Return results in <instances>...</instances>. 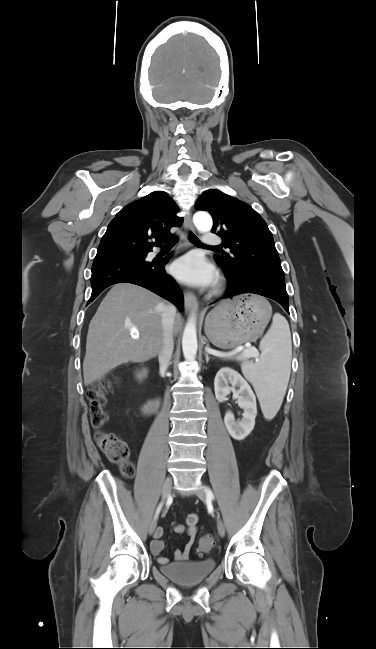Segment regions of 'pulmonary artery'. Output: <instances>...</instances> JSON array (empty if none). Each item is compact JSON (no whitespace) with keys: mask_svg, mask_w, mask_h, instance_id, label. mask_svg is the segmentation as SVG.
Returning a JSON list of instances; mask_svg holds the SVG:
<instances>
[{"mask_svg":"<svg viewBox=\"0 0 376 649\" xmlns=\"http://www.w3.org/2000/svg\"><path fill=\"white\" fill-rule=\"evenodd\" d=\"M203 245L207 247L217 246L221 243V239L211 233H206L202 239Z\"/></svg>","mask_w":376,"mask_h":649,"instance_id":"obj_1","label":"pulmonary artery"}]
</instances>
